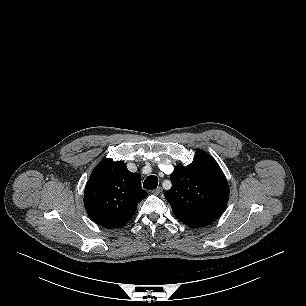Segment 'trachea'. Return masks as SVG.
<instances>
[{"mask_svg": "<svg viewBox=\"0 0 306 306\" xmlns=\"http://www.w3.org/2000/svg\"><path fill=\"white\" fill-rule=\"evenodd\" d=\"M157 185L158 178L156 176H148L143 183V187L147 190H153L157 188Z\"/></svg>", "mask_w": 306, "mask_h": 306, "instance_id": "trachea-1", "label": "trachea"}]
</instances>
